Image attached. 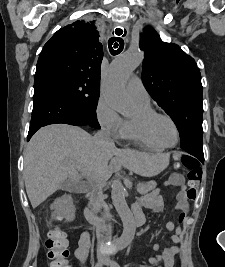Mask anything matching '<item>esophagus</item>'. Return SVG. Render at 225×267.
I'll use <instances>...</instances> for the list:
<instances>
[{
  "instance_id": "1",
  "label": "esophagus",
  "mask_w": 225,
  "mask_h": 267,
  "mask_svg": "<svg viewBox=\"0 0 225 267\" xmlns=\"http://www.w3.org/2000/svg\"><path fill=\"white\" fill-rule=\"evenodd\" d=\"M117 28H126V29H127V25L124 24V25H121V26L116 27V28L114 29V34H115L116 36H117V34H116L115 30H116ZM122 30H123V29H122ZM125 34H126V32H123V35H125Z\"/></svg>"
}]
</instances>
